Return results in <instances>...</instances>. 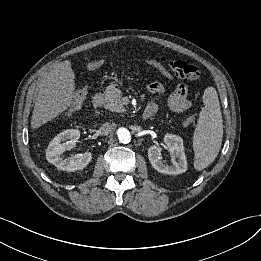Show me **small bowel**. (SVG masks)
I'll return each mask as SVG.
<instances>
[{
  "label": "small bowel",
  "instance_id": "obj_1",
  "mask_svg": "<svg viewBox=\"0 0 261 261\" xmlns=\"http://www.w3.org/2000/svg\"><path fill=\"white\" fill-rule=\"evenodd\" d=\"M100 67L99 60H89L86 64V71L88 73L96 72ZM148 90L154 94L146 108H150L155 114L158 111V98L164 93V86L159 81H153L148 85ZM168 106L175 112H184L191 106V101L188 97V88L185 84H178L168 99Z\"/></svg>",
  "mask_w": 261,
  "mask_h": 261
}]
</instances>
